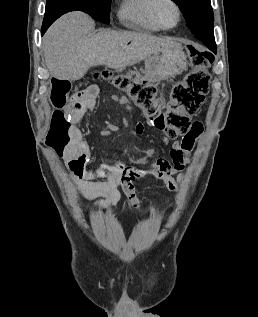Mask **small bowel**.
Masks as SVG:
<instances>
[{
    "label": "small bowel",
    "mask_w": 258,
    "mask_h": 317,
    "mask_svg": "<svg viewBox=\"0 0 258 317\" xmlns=\"http://www.w3.org/2000/svg\"><path fill=\"white\" fill-rule=\"evenodd\" d=\"M96 94V87L90 86L72 96L66 111L74 121L80 120L95 108ZM143 129V123L136 125L138 134H141ZM202 132V123L195 121L190 131L172 144L170 160L158 158L145 168L107 162H101L91 168L90 165L94 162L92 147L78 128H75L71 144L61 151L60 155L67 161L71 178L80 194L96 208L108 210L116 207L122 194L131 206L137 208L139 200L133 181L150 175L163 180L170 191H176L184 179L183 172L191 161V152ZM164 143H168L165 135Z\"/></svg>",
    "instance_id": "obj_1"
}]
</instances>
